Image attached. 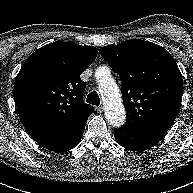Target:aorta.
I'll use <instances>...</instances> for the list:
<instances>
[{
    "mask_svg": "<svg viewBox=\"0 0 193 193\" xmlns=\"http://www.w3.org/2000/svg\"><path fill=\"white\" fill-rule=\"evenodd\" d=\"M99 91L104 103L107 122L113 127H121L126 119V112L121 94L115 80L110 75V69L102 66L95 71Z\"/></svg>",
    "mask_w": 193,
    "mask_h": 193,
    "instance_id": "762f6f07",
    "label": "aorta"
}]
</instances>
